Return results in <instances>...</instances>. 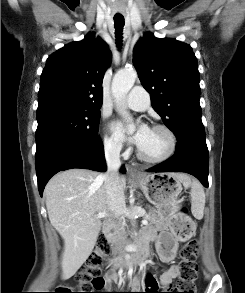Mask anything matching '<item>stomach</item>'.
I'll use <instances>...</instances> for the list:
<instances>
[{
    "instance_id": "stomach-1",
    "label": "stomach",
    "mask_w": 245,
    "mask_h": 293,
    "mask_svg": "<svg viewBox=\"0 0 245 293\" xmlns=\"http://www.w3.org/2000/svg\"><path fill=\"white\" fill-rule=\"evenodd\" d=\"M135 182L148 201L156 207L159 218L167 223L171 231L175 233L173 224L184 218L180 212L182 182L174 173L142 174L135 178ZM194 230L195 228L191 224L190 228L178 237L186 240L193 235Z\"/></svg>"
}]
</instances>
